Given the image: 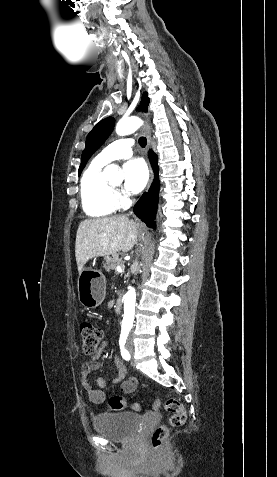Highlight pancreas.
Masks as SVG:
<instances>
[{
    "instance_id": "cf45deb5",
    "label": "pancreas",
    "mask_w": 277,
    "mask_h": 477,
    "mask_svg": "<svg viewBox=\"0 0 277 477\" xmlns=\"http://www.w3.org/2000/svg\"><path fill=\"white\" fill-rule=\"evenodd\" d=\"M121 262L119 254H112L111 256H106L105 261L103 262V267L105 270L110 271L116 268V265Z\"/></svg>"
}]
</instances>
